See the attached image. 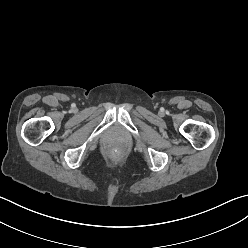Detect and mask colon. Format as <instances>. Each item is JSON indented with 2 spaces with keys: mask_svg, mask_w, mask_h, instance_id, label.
Wrapping results in <instances>:
<instances>
[{
  "mask_svg": "<svg viewBox=\"0 0 248 248\" xmlns=\"http://www.w3.org/2000/svg\"><path fill=\"white\" fill-rule=\"evenodd\" d=\"M111 155H112V156H118V155H119V150L116 149V148H113V149L111 150Z\"/></svg>",
  "mask_w": 248,
  "mask_h": 248,
  "instance_id": "1",
  "label": "colon"
}]
</instances>
